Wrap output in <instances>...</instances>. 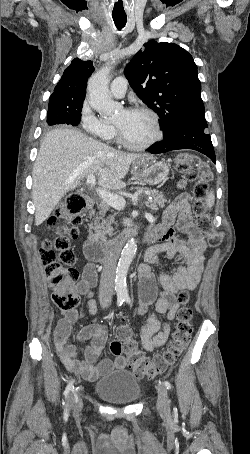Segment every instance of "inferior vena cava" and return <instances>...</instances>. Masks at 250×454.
Masks as SVG:
<instances>
[{
    "label": "inferior vena cava",
    "instance_id": "inferior-vena-cava-1",
    "mask_svg": "<svg viewBox=\"0 0 250 454\" xmlns=\"http://www.w3.org/2000/svg\"><path fill=\"white\" fill-rule=\"evenodd\" d=\"M119 255V248L111 247L104 261V267L101 275L99 301L100 304L105 306L112 301L114 291V279L117 257Z\"/></svg>",
    "mask_w": 250,
    "mask_h": 454
}]
</instances>
